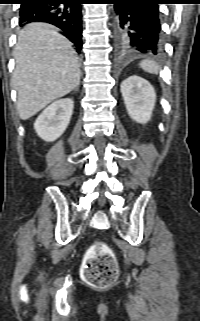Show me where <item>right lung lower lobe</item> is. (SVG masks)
<instances>
[{"instance_id":"1","label":"right lung lower lobe","mask_w":200,"mask_h":321,"mask_svg":"<svg viewBox=\"0 0 200 321\" xmlns=\"http://www.w3.org/2000/svg\"><path fill=\"white\" fill-rule=\"evenodd\" d=\"M81 3L83 0H22L19 24L25 26L32 22H46L55 25L63 30L77 52H80L82 48Z\"/></svg>"}]
</instances>
